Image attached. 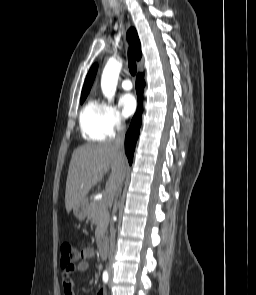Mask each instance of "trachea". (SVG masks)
<instances>
[{"instance_id": "3493384b", "label": "trachea", "mask_w": 256, "mask_h": 295, "mask_svg": "<svg viewBox=\"0 0 256 295\" xmlns=\"http://www.w3.org/2000/svg\"><path fill=\"white\" fill-rule=\"evenodd\" d=\"M128 67L131 75H135L137 71L136 60L132 52L128 51Z\"/></svg>"}]
</instances>
